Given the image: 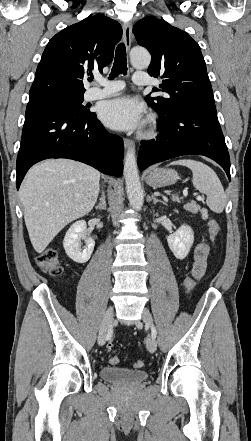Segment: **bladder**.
<instances>
[{
  "mask_svg": "<svg viewBox=\"0 0 251 441\" xmlns=\"http://www.w3.org/2000/svg\"><path fill=\"white\" fill-rule=\"evenodd\" d=\"M100 376L114 384H139L147 380L149 374L145 370L106 366L100 370Z\"/></svg>",
  "mask_w": 251,
  "mask_h": 441,
  "instance_id": "obj_1",
  "label": "bladder"
}]
</instances>
